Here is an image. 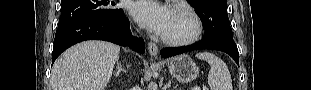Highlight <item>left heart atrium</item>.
<instances>
[{"label":"left heart atrium","mask_w":311,"mask_h":90,"mask_svg":"<svg viewBox=\"0 0 311 90\" xmlns=\"http://www.w3.org/2000/svg\"><path fill=\"white\" fill-rule=\"evenodd\" d=\"M131 14L148 30L163 35L169 24L172 11L159 2L139 0L131 5Z\"/></svg>","instance_id":"obj_1"}]
</instances>
